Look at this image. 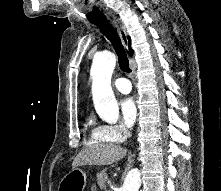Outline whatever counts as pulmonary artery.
<instances>
[{"instance_id": "1", "label": "pulmonary artery", "mask_w": 221, "mask_h": 191, "mask_svg": "<svg viewBox=\"0 0 221 191\" xmlns=\"http://www.w3.org/2000/svg\"><path fill=\"white\" fill-rule=\"evenodd\" d=\"M114 87L121 93H129L131 91V83L126 78H118L114 81Z\"/></svg>"}]
</instances>
